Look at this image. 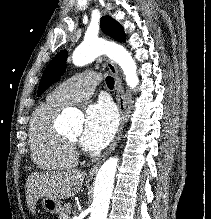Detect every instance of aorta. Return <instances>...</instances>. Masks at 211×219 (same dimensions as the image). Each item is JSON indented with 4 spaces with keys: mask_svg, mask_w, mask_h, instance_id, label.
Returning <instances> with one entry per match:
<instances>
[{
    "mask_svg": "<svg viewBox=\"0 0 211 219\" xmlns=\"http://www.w3.org/2000/svg\"><path fill=\"white\" fill-rule=\"evenodd\" d=\"M102 53H107L111 59L119 64L126 76L128 86L133 89L138 85L136 63L130 53L121 46L106 48L99 40H85L74 50L72 61L76 66H83L93 61ZM63 119L65 122L72 123L75 126L76 133L82 131V115L80 113L69 109L65 110ZM117 162V158L108 159L100 167L96 175L89 219H107Z\"/></svg>",
    "mask_w": 211,
    "mask_h": 219,
    "instance_id": "762f6f07",
    "label": "aorta"
}]
</instances>
